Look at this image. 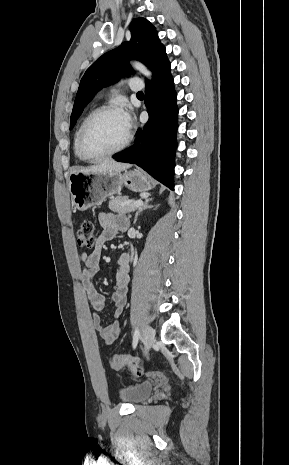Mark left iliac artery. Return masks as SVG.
<instances>
[{
  "mask_svg": "<svg viewBox=\"0 0 289 465\" xmlns=\"http://www.w3.org/2000/svg\"><path fill=\"white\" fill-rule=\"evenodd\" d=\"M139 336H140L139 330L136 328L134 332V337H133V348H136Z\"/></svg>",
  "mask_w": 289,
  "mask_h": 465,
  "instance_id": "1",
  "label": "left iliac artery"
}]
</instances>
